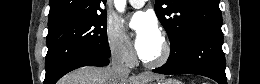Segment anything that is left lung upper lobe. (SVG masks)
<instances>
[{
	"label": "left lung upper lobe",
	"instance_id": "1",
	"mask_svg": "<svg viewBox=\"0 0 260 84\" xmlns=\"http://www.w3.org/2000/svg\"><path fill=\"white\" fill-rule=\"evenodd\" d=\"M155 13L165 28L170 43V58L194 31L221 28L219 0H155Z\"/></svg>",
	"mask_w": 260,
	"mask_h": 84
}]
</instances>
